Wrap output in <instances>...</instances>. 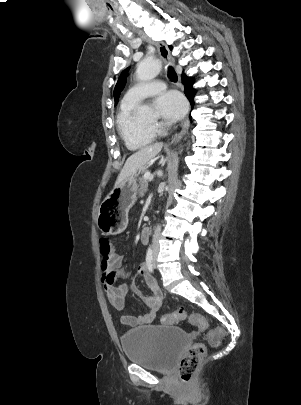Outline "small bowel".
Masks as SVG:
<instances>
[{
    "mask_svg": "<svg viewBox=\"0 0 301 405\" xmlns=\"http://www.w3.org/2000/svg\"><path fill=\"white\" fill-rule=\"evenodd\" d=\"M122 264L123 255L117 253L112 243L111 252L108 255H102L101 282L109 303L118 311L124 310L126 295L128 293V287L123 283V279L126 278L127 274L121 268ZM138 274L144 278L151 294L144 295L140 289L133 284L132 290L142 299L143 303L147 307V312L139 316H121V322L129 326L145 325L153 322L163 302L162 291L160 290L154 277L150 274L146 264H141L138 267Z\"/></svg>",
    "mask_w": 301,
    "mask_h": 405,
    "instance_id": "small-bowel-1",
    "label": "small bowel"
}]
</instances>
